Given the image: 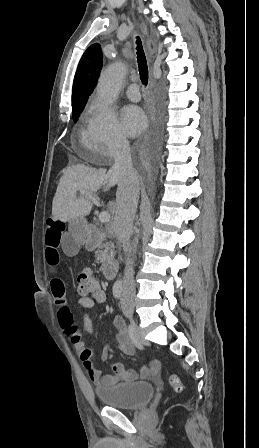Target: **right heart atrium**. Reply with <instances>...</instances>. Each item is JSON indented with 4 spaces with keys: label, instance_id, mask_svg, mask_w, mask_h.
<instances>
[{
    "label": "right heart atrium",
    "instance_id": "1",
    "mask_svg": "<svg viewBox=\"0 0 259 448\" xmlns=\"http://www.w3.org/2000/svg\"><path fill=\"white\" fill-rule=\"evenodd\" d=\"M95 120L87 142L97 157H119L127 148L128 140L113 109L103 102L93 101Z\"/></svg>",
    "mask_w": 259,
    "mask_h": 448
}]
</instances>
